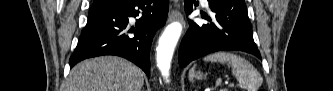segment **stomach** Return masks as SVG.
I'll use <instances>...</instances> for the list:
<instances>
[{
    "mask_svg": "<svg viewBox=\"0 0 333 91\" xmlns=\"http://www.w3.org/2000/svg\"><path fill=\"white\" fill-rule=\"evenodd\" d=\"M194 77L197 78V79H202L203 78V74L201 72H196L194 74Z\"/></svg>",
    "mask_w": 333,
    "mask_h": 91,
    "instance_id": "stomach-1",
    "label": "stomach"
}]
</instances>
